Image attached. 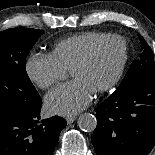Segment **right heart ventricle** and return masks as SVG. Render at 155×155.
<instances>
[{"instance_id":"e07e8e85","label":"right heart ventricle","mask_w":155,"mask_h":155,"mask_svg":"<svg viewBox=\"0 0 155 155\" xmlns=\"http://www.w3.org/2000/svg\"><path fill=\"white\" fill-rule=\"evenodd\" d=\"M108 33L101 31H85L54 43L51 55L64 70H70L90 46Z\"/></svg>"}]
</instances>
